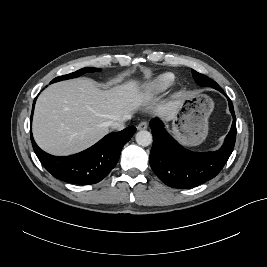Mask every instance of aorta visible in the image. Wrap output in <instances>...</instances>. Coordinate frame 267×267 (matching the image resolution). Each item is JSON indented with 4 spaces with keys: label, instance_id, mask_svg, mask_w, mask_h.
I'll list each match as a JSON object with an SVG mask.
<instances>
[{
    "label": "aorta",
    "instance_id": "obj_1",
    "mask_svg": "<svg viewBox=\"0 0 267 267\" xmlns=\"http://www.w3.org/2000/svg\"><path fill=\"white\" fill-rule=\"evenodd\" d=\"M135 138L140 146H149L152 143V134L146 130L139 131Z\"/></svg>",
    "mask_w": 267,
    "mask_h": 267
}]
</instances>
